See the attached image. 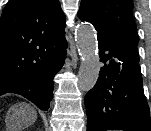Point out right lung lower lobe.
I'll use <instances>...</instances> for the list:
<instances>
[{
	"label": "right lung lower lobe",
	"mask_w": 151,
	"mask_h": 131,
	"mask_svg": "<svg viewBox=\"0 0 151 131\" xmlns=\"http://www.w3.org/2000/svg\"><path fill=\"white\" fill-rule=\"evenodd\" d=\"M67 42L64 38L47 50V60L36 73L20 80L1 95L13 93L33 102L39 109L47 111L53 98V78L61 69L66 56Z\"/></svg>",
	"instance_id": "right-lung-lower-lobe-1"
}]
</instances>
